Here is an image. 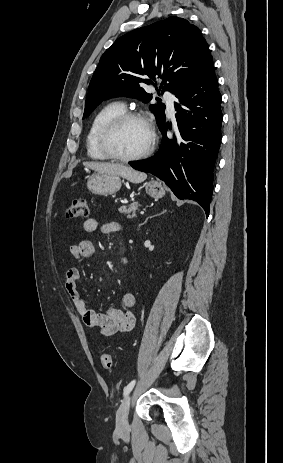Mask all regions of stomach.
<instances>
[{"mask_svg": "<svg viewBox=\"0 0 283 463\" xmlns=\"http://www.w3.org/2000/svg\"><path fill=\"white\" fill-rule=\"evenodd\" d=\"M122 180L117 175L93 174L87 181V188L94 194L112 195L121 188ZM146 192L153 198H161L165 195V188L160 181L150 180L145 184Z\"/></svg>", "mask_w": 283, "mask_h": 463, "instance_id": "1", "label": "stomach"}]
</instances>
